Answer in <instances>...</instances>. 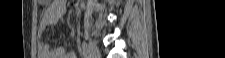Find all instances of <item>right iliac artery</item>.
<instances>
[{"mask_svg": "<svg viewBox=\"0 0 225 58\" xmlns=\"http://www.w3.org/2000/svg\"><path fill=\"white\" fill-rule=\"evenodd\" d=\"M81 55H82L83 58H89L88 50H87V47L84 43L82 44Z\"/></svg>", "mask_w": 225, "mask_h": 58, "instance_id": "1", "label": "right iliac artery"}]
</instances>
